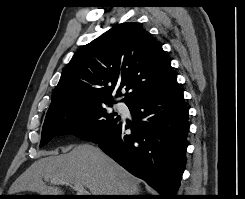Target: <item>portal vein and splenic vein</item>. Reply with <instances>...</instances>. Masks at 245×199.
I'll list each match as a JSON object with an SVG mask.
<instances>
[{
	"label": "portal vein and splenic vein",
	"mask_w": 245,
	"mask_h": 199,
	"mask_svg": "<svg viewBox=\"0 0 245 199\" xmlns=\"http://www.w3.org/2000/svg\"><path fill=\"white\" fill-rule=\"evenodd\" d=\"M58 184H66L64 182H59ZM73 188L78 192L79 195H91L84 186L80 183H73Z\"/></svg>",
	"instance_id": "portal-vein-and-splenic-vein-1"
}]
</instances>
